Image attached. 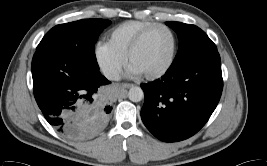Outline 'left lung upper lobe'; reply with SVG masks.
<instances>
[{"mask_svg": "<svg viewBox=\"0 0 267 166\" xmlns=\"http://www.w3.org/2000/svg\"><path fill=\"white\" fill-rule=\"evenodd\" d=\"M166 25L177 32L180 40L179 50L172 65L182 64L202 54L217 51L215 44L197 26L180 22H166Z\"/></svg>", "mask_w": 267, "mask_h": 166, "instance_id": "1", "label": "left lung upper lobe"}]
</instances>
